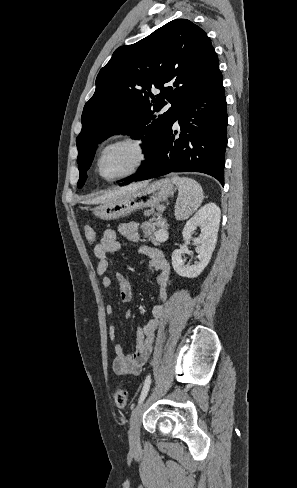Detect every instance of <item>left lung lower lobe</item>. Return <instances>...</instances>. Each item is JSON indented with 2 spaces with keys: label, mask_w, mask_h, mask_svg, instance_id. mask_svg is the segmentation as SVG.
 Segmentation results:
<instances>
[{
  "label": "left lung lower lobe",
  "mask_w": 297,
  "mask_h": 488,
  "mask_svg": "<svg viewBox=\"0 0 297 488\" xmlns=\"http://www.w3.org/2000/svg\"><path fill=\"white\" fill-rule=\"evenodd\" d=\"M225 90L222 73L188 102L176 120L177 131L169 128L155 157L123 184L170 172H201L215 177L224 186V158L227 145ZM175 120V121H176Z\"/></svg>",
  "instance_id": "obj_1"
}]
</instances>
